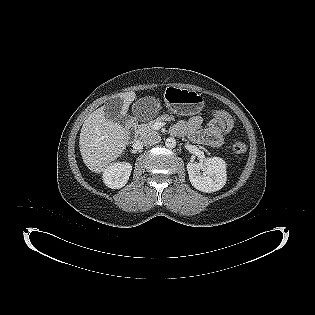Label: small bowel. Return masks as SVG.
Listing matches in <instances>:
<instances>
[{"instance_id": "1", "label": "small bowel", "mask_w": 315, "mask_h": 315, "mask_svg": "<svg viewBox=\"0 0 315 315\" xmlns=\"http://www.w3.org/2000/svg\"><path fill=\"white\" fill-rule=\"evenodd\" d=\"M221 111V110H219ZM225 123L220 118H212L205 126L200 116H193L187 121L179 122L174 128L175 134H188L191 139L200 144L220 147L224 142V133L222 131Z\"/></svg>"}]
</instances>
